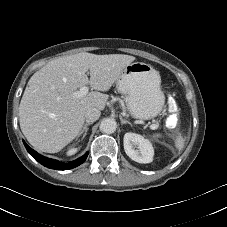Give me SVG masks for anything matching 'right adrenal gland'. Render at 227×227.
Returning <instances> with one entry per match:
<instances>
[{"label": "right adrenal gland", "instance_id": "1", "mask_svg": "<svg viewBox=\"0 0 227 227\" xmlns=\"http://www.w3.org/2000/svg\"><path fill=\"white\" fill-rule=\"evenodd\" d=\"M91 124H93V123H92V122H87V123L84 125L83 129L80 131L78 137L82 136L81 140H83L84 137L86 136V134H87V132H88V126L91 125Z\"/></svg>", "mask_w": 227, "mask_h": 227}]
</instances>
